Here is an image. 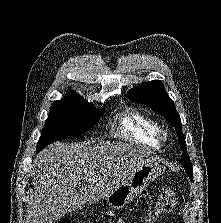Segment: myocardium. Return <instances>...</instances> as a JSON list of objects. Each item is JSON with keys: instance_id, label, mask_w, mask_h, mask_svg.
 Instances as JSON below:
<instances>
[{"instance_id": "1", "label": "myocardium", "mask_w": 221, "mask_h": 223, "mask_svg": "<svg viewBox=\"0 0 221 223\" xmlns=\"http://www.w3.org/2000/svg\"><path fill=\"white\" fill-rule=\"evenodd\" d=\"M167 132L163 129H159L157 132V138L159 141H165L167 139Z\"/></svg>"}]
</instances>
